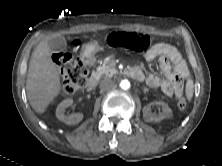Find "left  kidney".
<instances>
[{"mask_svg":"<svg viewBox=\"0 0 222 166\" xmlns=\"http://www.w3.org/2000/svg\"><path fill=\"white\" fill-rule=\"evenodd\" d=\"M156 104H158L162 107V113H160L159 115H153L151 113V106L150 105L144 106L142 112H143V117H144L145 121L159 123L162 120L171 117L172 110L168 106V104H166L162 101H158V102H156Z\"/></svg>","mask_w":222,"mask_h":166,"instance_id":"left-kidney-1","label":"left kidney"}]
</instances>
